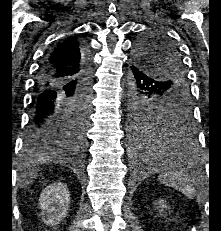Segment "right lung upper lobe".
<instances>
[{"instance_id":"cb5924a9","label":"right lung upper lobe","mask_w":221,"mask_h":231,"mask_svg":"<svg viewBox=\"0 0 221 231\" xmlns=\"http://www.w3.org/2000/svg\"><path fill=\"white\" fill-rule=\"evenodd\" d=\"M87 55L83 46L75 38L63 41L52 50L44 63L49 67L51 74L45 80L67 83L82 75V61Z\"/></svg>"}]
</instances>
